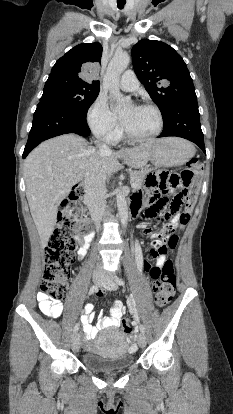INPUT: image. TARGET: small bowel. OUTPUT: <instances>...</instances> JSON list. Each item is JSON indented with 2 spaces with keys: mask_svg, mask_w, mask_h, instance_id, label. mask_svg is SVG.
I'll return each mask as SVG.
<instances>
[{
  "mask_svg": "<svg viewBox=\"0 0 233 414\" xmlns=\"http://www.w3.org/2000/svg\"><path fill=\"white\" fill-rule=\"evenodd\" d=\"M151 197H152V194L146 191V198L150 200ZM140 205H141V196L139 194H136L133 198V210L137 211ZM181 212H177L172 217L171 222H170V227H174L180 222ZM146 216L151 217L153 215L149 211H147ZM143 231L144 233L148 234L150 232V229L148 227H144ZM91 239H92L91 234H86L82 238L79 249H78L79 259H83L85 257ZM153 252H154V248L151 249L152 255H153ZM164 262H165V255L158 256L156 267L160 268ZM137 267L140 272L142 270H146L149 272V269L151 268V265L148 263V261L143 259L140 251L137 253ZM37 300H38L39 309L44 315L51 317V318H58L62 315L64 307H63V304L59 300H56L43 292L38 293ZM127 304H128V308L131 313L137 310V305L135 304V298L133 296H129L127 300ZM93 308L94 306L92 303L86 304L84 308V313L81 316L83 332H84L86 340H92L96 336L98 330L100 329L107 328V327H119L122 324L123 322L122 316L125 313V305L122 301L116 300L113 302L110 308L109 316H102V314H99L96 327L92 326V321L94 319Z\"/></svg>",
  "mask_w": 233,
  "mask_h": 414,
  "instance_id": "1",
  "label": "small bowel"
}]
</instances>
